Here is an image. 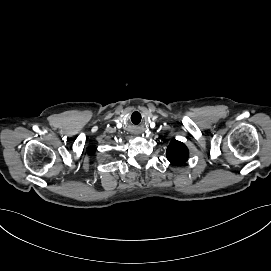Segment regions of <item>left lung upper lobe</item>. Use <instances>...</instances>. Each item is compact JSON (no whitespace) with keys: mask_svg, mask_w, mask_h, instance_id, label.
I'll list each match as a JSON object with an SVG mask.
<instances>
[{"mask_svg":"<svg viewBox=\"0 0 271 271\" xmlns=\"http://www.w3.org/2000/svg\"><path fill=\"white\" fill-rule=\"evenodd\" d=\"M166 155L171 164L179 166L188 159L189 152L184 143L172 139L167 147Z\"/></svg>","mask_w":271,"mask_h":271,"instance_id":"5c2ea615","label":"left lung upper lobe"}]
</instances>
